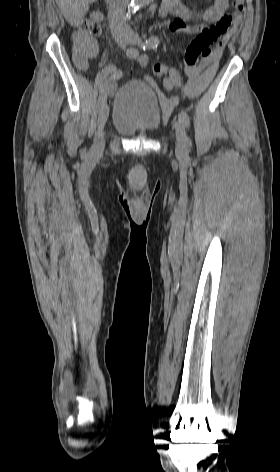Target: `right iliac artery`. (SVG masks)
<instances>
[{"label": "right iliac artery", "mask_w": 280, "mask_h": 472, "mask_svg": "<svg viewBox=\"0 0 280 472\" xmlns=\"http://www.w3.org/2000/svg\"><path fill=\"white\" fill-rule=\"evenodd\" d=\"M126 55L131 59H135L139 55V52L135 48H130L126 51ZM115 71H116V67L114 65H108L102 70L101 77H100V85H99L100 94H99V99L97 102L98 108H101L106 103L108 76L112 75Z\"/></svg>", "instance_id": "82829eb1"}]
</instances>
